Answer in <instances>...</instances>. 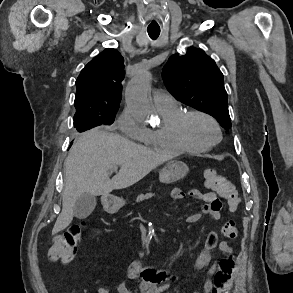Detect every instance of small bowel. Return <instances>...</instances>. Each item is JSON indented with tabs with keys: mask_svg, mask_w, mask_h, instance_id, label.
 I'll list each match as a JSON object with an SVG mask.
<instances>
[{
	"mask_svg": "<svg viewBox=\"0 0 293 293\" xmlns=\"http://www.w3.org/2000/svg\"><path fill=\"white\" fill-rule=\"evenodd\" d=\"M186 196L203 201L202 212L188 215L186 222L196 223L201 219L202 215H206L213 220L220 219L222 204L216 192H201L198 189H191L186 192L180 188H176L171 193L173 200H182ZM216 248L225 253H232L234 250L230 243L221 241L216 232L212 231L208 234L204 249L195 261V268L201 270L208 267L207 274L209 279L205 281L202 290L195 293H211L213 287L211 277L216 272V266L210 265L212 259L211 253ZM126 276L135 282L133 287L126 286L122 281H119L114 285L113 290L102 287L97 293H168L170 289L168 282L170 274L168 271L145 266L140 261H133L130 264Z\"/></svg>",
	"mask_w": 293,
	"mask_h": 293,
	"instance_id": "small-bowel-1",
	"label": "small bowel"
}]
</instances>
